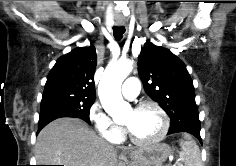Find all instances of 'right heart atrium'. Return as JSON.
Returning <instances> with one entry per match:
<instances>
[{"label":"right heart atrium","instance_id":"d8ad5b80","mask_svg":"<svg viewBox=\"0 0 236 166\" xmlns=\"http://www.w3.org/2000/svg\"><path fill=\"white\" fill-rule=\"evenodd\" d=\"M88 118L99 136L111 142L121 140L122 129L111 119L98 102L93 103L90 107Z\"/></svg>","mask_w":236,"mask_h":166}]
</instances>
